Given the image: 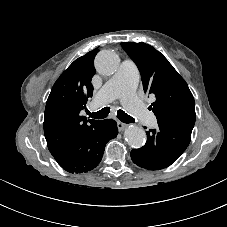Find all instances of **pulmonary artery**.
<instances>
[{
  "label": "pulmonary artery",
  "instance_id": "pulmonary-artery-1",
  "mask_svg": "<svg viewBox=\"0 0 227 227\" xmlns=\"http://www.w3.org/2000/svg\"><path fill=\"white\" fill-rule=\"evenodd\" d=\"M138 81L139 72L136 65L130 60H124L117 72L96 93L90 105L91 110L120 98L140 124L154 126L156 124L154 115L135 95Z\"/></svg>",
  "mask_w": 227,
  "mask_h": 227
}]
</instances>
